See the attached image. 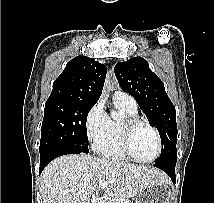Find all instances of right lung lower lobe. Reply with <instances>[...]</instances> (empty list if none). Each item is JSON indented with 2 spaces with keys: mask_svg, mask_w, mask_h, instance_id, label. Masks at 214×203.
<instances>
[{
  "mask_svg": "<svg viewBox=\"0 0 214 203\" xmlns=\"http://www.w3.org/2000/svg\"><path fill=\"white\" fill-rule=\"evenodd\" d=\"M81 152L79 151H75V150H71V149H67V148H54L51 150H48L42 154H40V173L43 171V169L45 168V166L51 162L53 159L62 156V155H66V154H79Z\"/></svg>",
  "mask_w": 214,
  "mask_h": 203,
  "instance_id": "1",
  "label": "right lung lower lobe"
}]
</instances>
